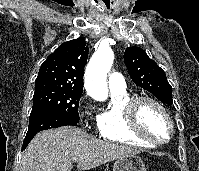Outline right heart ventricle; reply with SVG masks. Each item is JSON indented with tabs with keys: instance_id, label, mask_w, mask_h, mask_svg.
Instances as JSON below:
<instances>
[{
	"instance_id": "obj_1",
	"label": "right heart ventricle",
	"mask_w": 199,
	"mask_h": 171,
	"mask_svg": "<svg viewBox=\"0 0 199 171\" xmlns=\"http://www.w3.org/2000/svg\"><path fill=\"white\" fill-rule=\"evenodd\" d=\"M132 95L126 89L111 91V104L98 116V134L105 140L140 147H154L153 144L134 135L126 116V104Z\"/></svg>"
}]
</instances>
